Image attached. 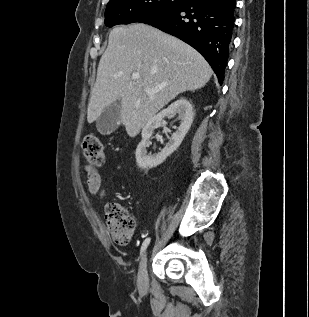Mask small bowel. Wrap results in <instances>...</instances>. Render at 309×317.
I'll list each match as a JSON object with an SVG mask.
<instances>
[{"label":"small bowel","instance_id":"small-bowel-1","mask_svg":"<svg viewBox=\"0 0 309 317\" xmlns=\"http://www.w3.org/2000/svg\"><path fill=\"white\" fill-rule=\"evenodd\" d=\"M87 174V190L92 196H97L99 199H103L107 193V188L102 186V179L99 171L91 166L85 167Z\"/></svg>","mask_w":309,"mask_h":317}]
</instances>
